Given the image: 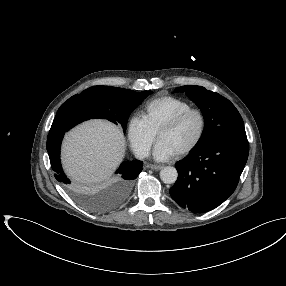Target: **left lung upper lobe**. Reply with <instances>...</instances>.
Wrapping results in <instances>:
<instances>
[{
	"label": "left lung upper lobe",
	"instance_id": "obj_1",
	"mask_svg": "<svg viewBox=\"0 0 286 286\" xmlns=\"http://www.w3.org/2000/svg\"><path fill=\"white\" fill-rule=\"evenodd\" d=\"M182 91L200 108L205 118L204 131L194 148L216 139H247L241 115L228 99L197 85L175 89V92Z\"/></svg>",
	"mask_w": 286,
	"mask_h": 286
}]
</instances>
